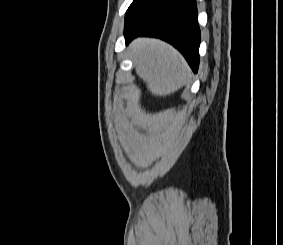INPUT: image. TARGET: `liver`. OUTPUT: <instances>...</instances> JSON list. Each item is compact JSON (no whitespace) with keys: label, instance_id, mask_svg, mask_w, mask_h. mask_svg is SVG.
I'll list each match as a JSON object with an SVG mask.
<instances>
[{"label":"liver","instance_id":"obj_1","mask_svg":"<svg viewBox=\"0 0 283 245\" xmlns=\"http://www.w3.org/2000/svg\"><path fill=\"white\" fill-rule=\"evenodd\" d=\"M136 74L156 96L170 95L189 80L191 70L184 58L169 44L139 38L130 45Z\"/></svg>","mask_w":283,"mask_h":245}]
</instances>
